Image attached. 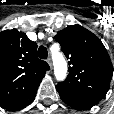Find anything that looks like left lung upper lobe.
Returning <instances> with one entry per match:
<instances>
[{
    "mask_svg": "<svg viewBox=\"0 0 114 114\" xmlns=\"http://www.w3.org/2000/svg\"><path fill=\"white\" fill-rule=\"evenodd\" d=\"M55 40L69 61V74L57 86L102 99L113 74L110 57L101 40L80 25L59 31Z\"/></svg>",
    "mask_w": 114,
    "mask_h": 114,
    "instance_id": "left-lung-upper-lobe-1",
    "label": "left lung upper lobe"
}]
</instances>
